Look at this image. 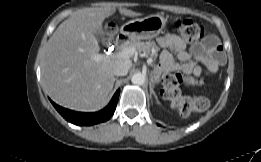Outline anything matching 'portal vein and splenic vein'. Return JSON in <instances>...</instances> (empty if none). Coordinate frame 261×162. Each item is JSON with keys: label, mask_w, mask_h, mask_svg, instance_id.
Segmentation results:
<instances>
[{"label": "portal vein and splenic vein", "mask_w": 261, "mask_h": 162, "mask_svg": "<svg viewBox=\"0 0 261 162\" xmlns=\"http://www.w3.org/2000/svg\"><path fill=\"white\" fill-rule=\"evenodd\" d=\"M136 53L135 47H124L121 50L114 52L112 54H95L92 56V59L95 61H102L110 58H117V59H129ZM153 62L152 58H149L147 60L148 64H151Z\"/></svg>", "instance_id": "18ae733b"}]
</instances>
